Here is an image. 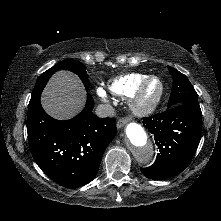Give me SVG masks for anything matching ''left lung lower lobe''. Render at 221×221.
<instances>
[{"label":"left lung lower lobe","mask_w":221,"mask_h":221,"mask_svg":"<svg viewBox=\"0 0 221 221\" xmlns=\"http://www.w3.org/2000/svg\"><path fill=\"white\" fill-rule=\"evenodd\" d=\"M201 112L177 105L144 118L143 124L154 135L159 148L154 164L141 168L149 179L162 180L182 172L191 162L201 136Z\"/></svg>","instance_id":"0a47b994"}]
</instances>
